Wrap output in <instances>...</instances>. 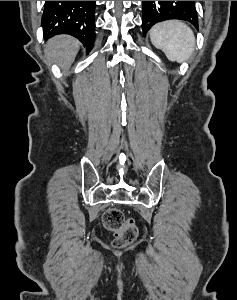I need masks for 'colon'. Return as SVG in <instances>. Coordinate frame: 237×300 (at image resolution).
<instances>
[{
  "instance_id": "5ec220e1",
  "label": "colon",
  "mask_w": 237,
  "mask_h": 300,
  "mask_svg": "<svg viewBox=\"0 0 237 300\" xmlns=\"http://www.w3.org/2000/svg\"><path fill=\"white\" fill-rule=\"evenodd\" d=\"M106 229L114 233V246L124 247L132 244L138 236V229L133 219L125 218L118 208H109L103 215Z\"/></svg>"
}]
</instances>
